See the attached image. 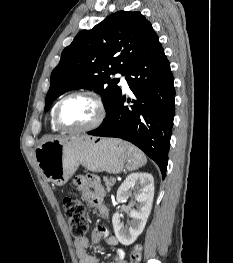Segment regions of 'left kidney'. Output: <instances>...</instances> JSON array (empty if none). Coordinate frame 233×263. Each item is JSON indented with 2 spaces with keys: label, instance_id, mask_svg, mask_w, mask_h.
<instances>
[{
  "label": "left kidney",
  "instance_id": "obj_1",
  "mask_svg": "<svg viewBox=\"0 0 233 263\" xmlns=\"http://www.w3.org/2000/svg\"><path fill=\"white\" fill-rule=\"evenodd\" d=\"M131 190L136 192L135 200L138 202L137 209L130 211L132 220L124 226L121 220L123 218L122 213L116 211L112 217L115 236L125 246L134 243L145 228L154 198L153 176L148 173L130 174L117 191V202H125Z\"/></svg>",
  "mask_w": 233,
  "mask_h": 263
}]
</instances>
